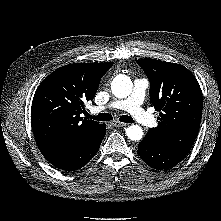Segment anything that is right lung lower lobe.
<instances>
[{
    "instance_id": "98d812e1",
    "label": "right lung lower lobe",
    "mask_w": 221,
    "mask_h": 221,
    "mask_svg": "<svg viewBox=\"0 0 221 221\" xmlns=\"http://www.w3.org/2000/svg\"><path fill=\"white\" fill-rule=\"evenodd\" d=\"M106 134V127L86 143L71 148L38 146L45 159L52 165L66 171H74L85 166L99 151Z\"/></svg>"
}]
</instances>
